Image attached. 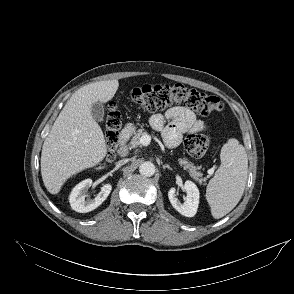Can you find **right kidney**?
<instances>
[{
    "instance_id": "obj_1",
    "label": "right kidney",
    "mask_w": 294,
    "mask_h": 294,
    "mask_svg": "<svg viewBox=\"0 0 294 294\" xmlns=\"http://www.w3.org/2000/svg\"><path fill=\"white\" fill-rule=\"evenodd\" d=\"M92 185L91 179H86L77 184L69 195V202L73 210L79 213H86L96 209L109 196L112 186L105 184L94 199H85L87 189Z\"/></svg>"
}]
</instances>
